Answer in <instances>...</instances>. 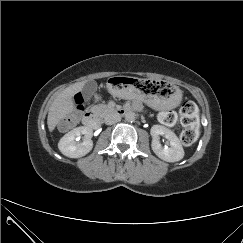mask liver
Masks as SVG:
<instances>
[{
    "mask_svg": "<svg viewBox=\"0 0 243 243\" xmlns=\"http://www.w3.org/2000/svg\"><path fill=\"white\" fill-rule=\"evenodd\" d=\"M85 82L75 83L64 89L52 102L48 117L47 125L50 132H52L56 125L74 108L73 97L76 93L83 89Z\"/></svg>",
    "mask_w": 243,
    "mask_h": 243,
    "instance_id": "6515ba94",
    "label": "liver"
}]
</instances>
